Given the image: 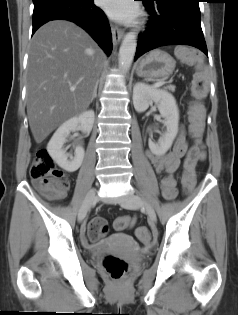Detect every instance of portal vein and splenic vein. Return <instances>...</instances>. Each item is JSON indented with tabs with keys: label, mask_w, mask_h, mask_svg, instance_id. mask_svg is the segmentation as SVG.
Masks as SVG:
<instances>
[{
	"label": "portal vein and splenic vein",
	"mask_w": 238,
	"mask_h": 315,
	"mask_svg": "<svg viewBox=\"0 0 238 315\" xmlns=\"http://www.w3.org/2000/svg\"><path fill=\"white\" fill-rule=\"evenodd\" d=\"M164 84H165V81H159V82L155 83L154 86L155 87H160V86H162ZM75 89H76L75 87H71L70 91H75Z\"/></svg>",
	"instance_id": "1"
}]
</instances>
